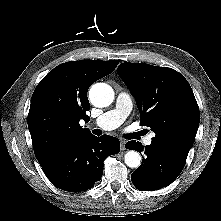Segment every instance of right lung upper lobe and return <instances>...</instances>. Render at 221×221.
<instances>
[{"instance_id":"cb5924a9","label":"right lung upper lobe","mask_w":221,"mask_h":221,"mask_svg":"<svg viewBox=\"0 0 221 221\" xmlns=\"http://www.w3.org/2000/svg\"><path fill=\"white\" fill-rule=\"evenodd\" d=\"M118 60H81L60 64L37 85L27 118L35 156L40 165L83 141L91 132L88 122V88L110 74Z\"/></svg>"}]
</instances>
